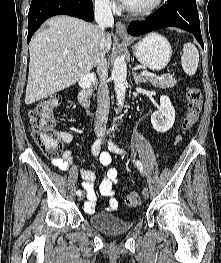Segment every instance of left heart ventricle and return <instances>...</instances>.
<instances>
[{
	"label": "left heart ventricle",
	"instance_id": "left-heart-ventricle-1",
	"mask_svg": "<svg viewBox=\"0 0 221 263\" xmlns=\"http://www.w3.org/2000/svg\"><path fill=\"white\" fill-rule=\"evenodd\" d=\"M155 0H130L127 5L133 8H143L152 4Z\"/></svg>",
	"mask_w": 221,
	"mask_h": 263
}]
</instances>
